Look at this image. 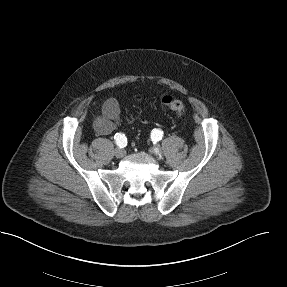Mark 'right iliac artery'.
<instances>
[{"mask_svg":"<svg viewBox=\"0 0 287 287\" xmlns=\"http://www.w3.org/2000/svg\"><path fill=\"white\" fill-rule=\"evenodd\" d=\"M114 138L118 147L124 148L127 145V139L124 134L116 133Z\"/></svg>","mask_w":287,"mask_h":287,"instance_id":"1","label":"right iliac artery"}]
</instances>
